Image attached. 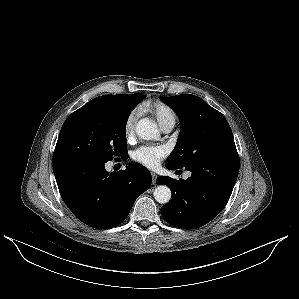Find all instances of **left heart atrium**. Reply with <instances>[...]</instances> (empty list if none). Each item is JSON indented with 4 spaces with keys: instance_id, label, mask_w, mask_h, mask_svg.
<instances>
[{
    "instance_id": "obj_1",
    "label": "left heart atrium",
    "mask_w": 299,
    "mask_h": 299,
    "mask_svg": "<svg viewBox=\"0 0 299 299\" xmlns=\"http://www.w3.org/2000/svg\"><path fill=\"white\" fill-rule=\"evenodd\" d=\"M167 155V150L161 145H144L137 148L133 154L132 159L147 168H157L162 159Z\"/></svg>"
}]
</instances>
